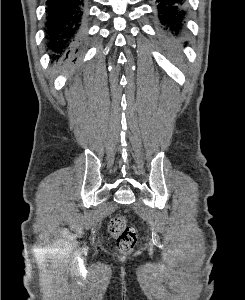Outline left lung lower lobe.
I'll return each instance as SVG.
<instances>
[{
	"label": "left lung lower lobe",
	"instance_id": "left-lung-lower-lobe-1",
	"mask_svg": "<svg viewBox=\"0 0 245 300\" xmlns=\"http://www.w3.org/2000/svg\"><path fill=\"white\" fill-rule=\"evenodd\" d=\"M186 0H157L158 16L163 30L170 40L180 35L185 15Z\"/></svg>",
	"mask_w": 245,
	"mask_h": 300
}]
</instances>
